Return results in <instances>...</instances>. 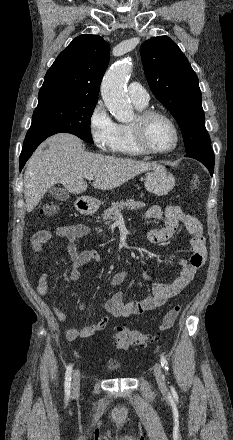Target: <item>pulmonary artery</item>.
<instances>
[{
  "mask_svg": "<svg viewBox=\"0 0 233 440\" xmlns=\"http://www.w3.org/2000/svg\"><path fill=\"white\" fill-rule=\"evenodd\" d=\"M128 94L135 105L146 106L149 102V94L139 82L129 84Z\"/></svg>",
  "mask_w": 233,
  "mask_h": 440,
  "instance_id": "pulmonary-artery-1",
  "label": "pulmonary artery"
}]
</instances>
